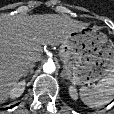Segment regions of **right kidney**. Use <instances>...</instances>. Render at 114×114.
Instances as JSON below:
<instances>
[{"label":"right kidney","mask_w":114,"mask_h":114,"mask_svg":"<svg viewBox=\"0 0 114 114\" xmlns=\"http://www.w3.org/2000/svg\"><path fill=\"white\" fill-rule=\"evenodd\" d=\"M25 85H26L25 80L17 82L10 90L9 93L10 98L15 99L20 97L25 90Z\"/></svg>","instance_id":"ca27d5eb"}]
</instances>
